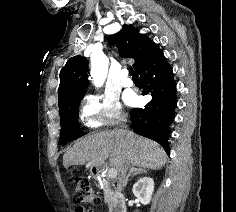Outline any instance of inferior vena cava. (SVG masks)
<instances>
[{
	"label": "inferior vena cava",
	"mask_w": 236,
	"mask_h": 212,
	"mask_svg": "<svg viewBox=\"0 0 236 212\" xmlns=\"http://www.w3.org/2000/svg\"><path fill=\"white\" fill-rule=\"evenodd\" d=\"M122 121L125 122L126 120L123 118ZM128 169H129V162L126 158H124L118 170V186L120 189H122V187L125 185Z\"/></svg>",
	"instance_id": "1"
}]
</instances>
